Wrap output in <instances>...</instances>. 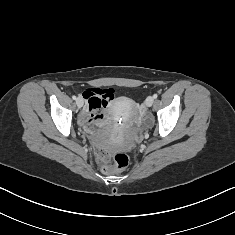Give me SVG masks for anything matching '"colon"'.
<instances>
[{"instance_id":"5ec220e1","label":"colon","mask_w":235,"mask_h":235,"mask_svg":"<svg viewBox=\"0 0 235 235\" xmlns=\"http://www.w3.org/2000/svg\"><path fill=\"white\" fill-rule=\"evenodd\" d=\"M102 95V103L105 104L107 99L113 97L114 93L111 89H106ZM111 156L108 151L103 148L96 150V160L101 164V169L104 173L110 174L119 170L125 169L129 165V157L126 154L118 153L113 157V163H110Z\"/></svg>"}]
</instances>
